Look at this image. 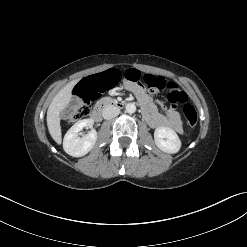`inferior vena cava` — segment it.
Wrapping results in <instances>:
<instances>
[{"label": "inferior vena cava", "instance_id": "602c4592", "mask_svg": "<svg viewBox=\"0 0 247 247\" xmlns=\"http://www.w3.org/2000/svg\"><path fill=\"white\" fill-rule=\"evenodd\" d=\"M119 113H120V109L113 105L105 106L102 111L103 118L107 120L118 116Z\"/></svg>", "mask_w": 247, "mask_h": 247}]
</instances>
